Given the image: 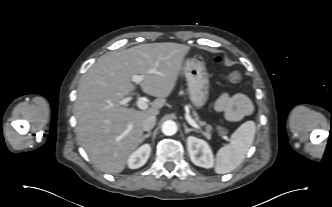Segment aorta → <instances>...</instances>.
<instances>
[{
	"instance_id": "aorta-1",
	"label": "aorta",
	"mask_w": 332,
	"mask_h": 207,
	"mask_svg": "<svg viewBox=\"0 0 332 207\" xmlns=\"http://www.w3.org/2000/svg\"><path fill=\"white\" fill-rule=\"evenodd\" d=\"M162 132L167 136L174 135L177 132V125L172 120H167L162 124Z\"/></svg>"
}]
</instances>
